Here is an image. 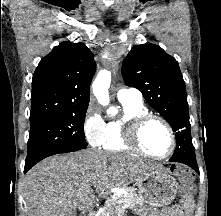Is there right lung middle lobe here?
<instances>
[{
  "label": "right lung middle lobe",
  "instance_id": "obj_1",
  "mask_svg": "<svg viewBox=\"0 0 221 216\" xmlns=\"http://www.w3.org/2000/svg\"><path fill=\"white\" fill-rule=\"evenodd\" d=\"M87 108H77L30 120L25 165L36 164L51 155L86 148L83 126Z\"/></svg>",
  "mask_w": 221,
  "mask_h": 216
}]
</instances>
